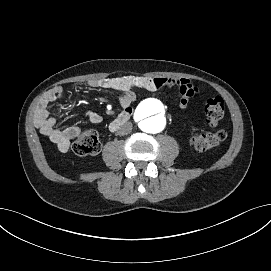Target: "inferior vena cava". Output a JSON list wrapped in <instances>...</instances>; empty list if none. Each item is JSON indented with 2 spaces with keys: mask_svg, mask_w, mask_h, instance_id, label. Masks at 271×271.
Listing matches in <instances>:
<instances>
[{
  "mask_svg": "<svg viewBox=\"0 0 271 271\" xmlns=\"http://www.w3.org/2000/svg\"><path fill=\"white\" fill-rule=\"evenodd\" d=\"M131 131V125L130 123H126L122 126H120V128L118 129L117 133L119 135H126Z\"/></svg>",
  "mask_w": 271,
  "mask_h": 271,
  "instance_id": "1",
  "label": "inferior vena cava"
}]
</instances>
